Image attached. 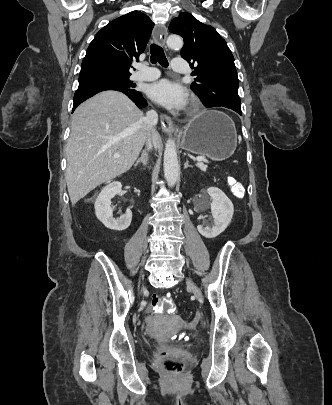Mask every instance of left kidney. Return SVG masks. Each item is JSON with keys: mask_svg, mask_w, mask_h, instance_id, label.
I'll return each mask as SVG.
<instances>
[{"mask_svg": "<svg viewBox=\"0 0 332 405\" xmlns=\"http://www.w3.org/2000/svg\"><path fill=\"white\" fill-rule=\"evenodd\" d=\"M208 194L211 196L212 203L210 204L213 218V225H198L199 233L206 238H215L221 234L231 222L234 207L231 200L226 194L216 188L210 187L207 189Z\"/></svg>", "mask_w": 332, "mask_h": 405, "instance_id": "5707ae66", "label": "left kidney"}]
</instances>
